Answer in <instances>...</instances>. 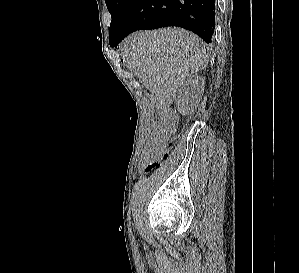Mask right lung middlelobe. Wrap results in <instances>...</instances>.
<instances>
[{"label": "right lung middle lobe", "instance_id": "dd1d6c3e", "mask_svg": "<svg viewBox=\"0 0 299 273\" xmlns=\"http://www.w3.org/2000/svg\"><path fill=\"white\" fill-rule=\"evenodd\" d=\"M134 0H105L111 14L112 21L109 28V43H111L120 29Z\"/></svg>", "mask_w": 299, "mask_h": 273}]
</instances>
